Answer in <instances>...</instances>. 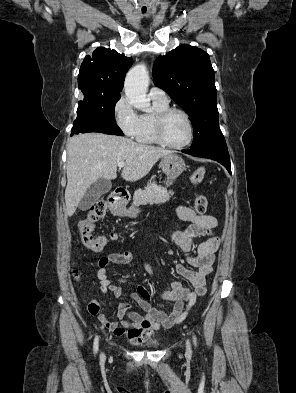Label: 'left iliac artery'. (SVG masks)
I'll return each instance as SVG.
<instances>
[{"label":"left iliac artery","instance_id":"1","mask_svg":"<svg viewBox=\"0 0 296 393\" xmlns=\"http://www.w3.org/2000/svg\"><path fill=\"white\" fill-rule=\"evenodd\" d=\"M193 340H194L195 346H197V340H196V336L195 335L193 336Z\"/></svg>","mask_w":296,"mask_h":393}]
</instances>
